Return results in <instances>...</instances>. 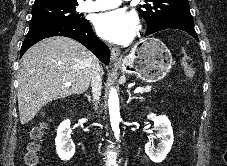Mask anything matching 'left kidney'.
Listing matches in <instances>:
<instances>
[{
	"instance_id": "1",
	"label": "left kidney",
	"mask_w": 227,
	"mask_h": 166,
	"mask_svg": "<svg viewBox=\"0 0 227 166\" xmlns=\"http://www.w3.org/2000/svg\"><path fill=\"white\" fill-rule=\"evenodd\" d=\"M148 119L154 121V129L157 130L156 136L160 138V143L155 147L153 142H148L145 145V152L151 161L160 163L166 158L173 145L171 122L165 115L156 116L153 113L148 115Z\"/></svg>"
}]
</instances>
